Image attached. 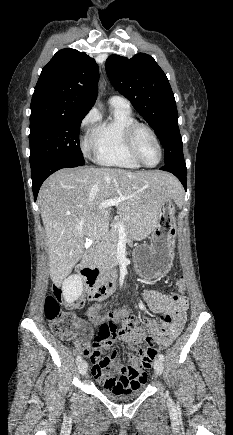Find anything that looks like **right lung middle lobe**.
I'll return each instance as SVG.
<instances>
[{
  "label": "right lung middle lobe",
  "instance_id": "dd1d6c3e",
  "mask_svg": "<svg viewBox=\"0 0 233 435\" xmlns=\"http://www.w3.org/2000/svg\"><path fill=\"white\" fill-rule=\"evenodd\" d=\"M85 115L48 114L30 117V165L48 159L84 165L79 131Z\"/></svg>",
  "mask_w": 233,
  "mask_h": 435
}]
</instances>
